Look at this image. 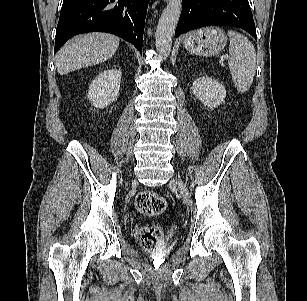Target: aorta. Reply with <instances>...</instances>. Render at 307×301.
<instances>
[{"instance_id":"obj_1","label":"aorta","mask_w":307,"mask_h":301,"mask_svg":"<svg viewBox=\"0 0 307 301\" xmlns=\"http://www.w3.org/2000/svg\"><path fill=\"white\" fill-rule=\"evenodd\" d=\"M182 9V0H169L159 19L155 46L160 55L167 56L171 51L172 38Z\"/></svg>"}]
</instances>
